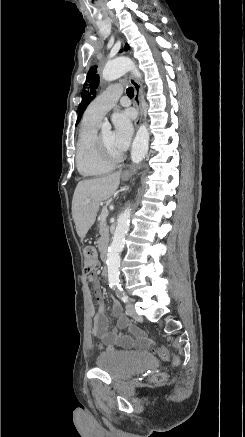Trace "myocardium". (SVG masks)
Listing matches in <instances>:
<instances>
[{"mask_svg": "<svg viewBox=\"0 0 245 437\" xmlns=\"http://www.w3.org/2000/svg\"><path fill=\"white\" fill-rule=\"evenodd\" d=\"M94 144H95V149H96L98 155L103 160L110 162V163H117L122 159L121 154L113 155L106 149V147L104 146V144L100 138V134H96L95 139H94Z\"/></svg>", "mask_w": 245, "mask_h": 437, "instance_id": "obj_1", "label": "myocardium"}]
</instances>
